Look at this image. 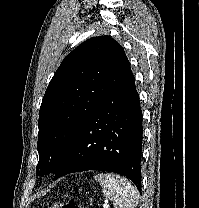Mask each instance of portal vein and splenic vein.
Masks as SVG:
<instances>
[{"label": "portal vein and splenic vein", "mask_w": 199, "mask_h": 208, "mask_svg": "<svg viewBox=\"0 0 199 208\" xmlns=\"http://www.w3.org/2000/svg\"><path fill=\"white\" fill-rule=\"evenodd\" d=\"M109 203H108V201H104V203H103V208H109Z\"/></svg>", "instance_id": "18ae733b"}]
</instances>
